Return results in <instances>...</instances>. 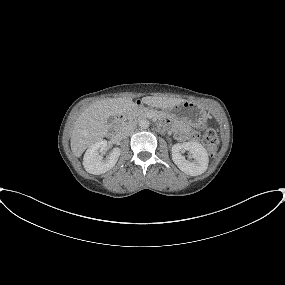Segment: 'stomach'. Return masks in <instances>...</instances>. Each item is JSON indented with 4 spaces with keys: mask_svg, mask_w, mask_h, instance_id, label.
Masks as SVG:
<instances>
[{
    "mask_svg": "<svg viewBox=\"0 0 285 285\" xmlns=\"http://www.w3.org/2000/svg\"><path fill=\"white\" fill-rule=\"evenodd\" d=\"M168 114L190 125H200L207 119L205 108L194 101H184L180 105L169 109Z\"/></svg>",
    "mask_w": 285,
    "mask_h": 285,
    "instance_id": "stomach-1",
    "label": "stomach"
}]
</instances>
